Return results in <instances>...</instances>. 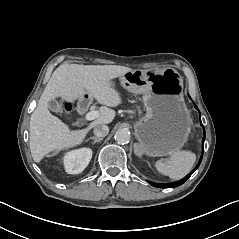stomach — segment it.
I'll use <instances>...</instances> for the list:
<instances>
[{
	"instance_id": "0dacf381",
	"label": "stomach",
	"mask_w": 239,
	"mask_h": 239,
	"mask_svg": "<svg viewBox=\"0 0 239 239\" xmlns=\"http://www.w3.org/2000/svg\"><path fill=\"white\" fill-rule=\"evenodd\" d=\"M119 79L124 89L143 95L146 114L134 125L142 153L158 157L179 152L192 125L181 76L165 71L132 70ZM111 84L115 89L114 81ZM84 95L89 96L88 91Z\"/></svg>"
}]
</instances>
